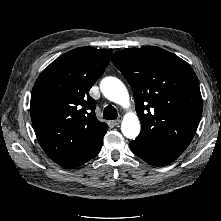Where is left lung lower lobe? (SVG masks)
<instances>
[{
	"mask_svg": "<svg viewBox=\"0 0 221 221\" xmlns=\"http://www.w3.org/2000/svg\"><path fill=\"white\" fill-rule=\"evenodd\" d=\"M132 152L149 164L161 166L173 162L181 152L144 146L133 141L129 143Z\"/></svg>",
	"mask_w": 221,
	"mask_h": 221,
	"instance_id": "obj_1",
	"label": "left lung lower lobe"
}]
</instances>
